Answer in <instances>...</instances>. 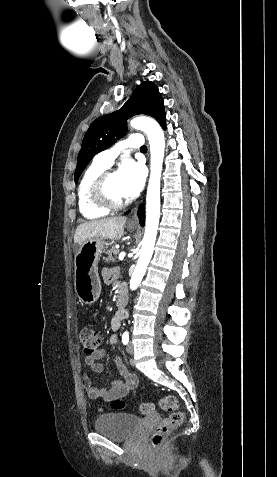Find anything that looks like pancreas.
Masks as SVG:
<instances>
[{
  "instance_id": "1",
  "label": "pancreas",
  "mask_w": 277,
  "mask_h": 477,
  "mask_svg": "<svg viewBox=\"0 0 277 477\" xmlns=\"http://www.w3.org/2000/svg\"><path fill=\"white\" fill-rule=\"evenodd\" d=\"M117 252H118V250L115 249V248H111L110 250H108L106 252L107 257L105 258V261L107 263L115 262L116 261L115 255L117 254Z\"/></svg>"
}]
</instances>
